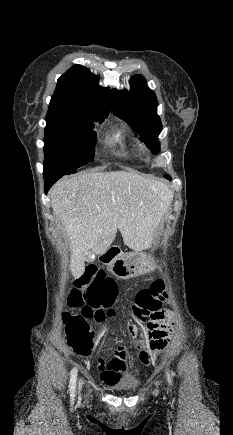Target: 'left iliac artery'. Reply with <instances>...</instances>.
<instances>
[{
	"label": "left iliac artery",
	"instance_id": "1",
	"mask_svg": "<svg viewBox=\"0 0 233 435\" xmlns=\"http://www.w3.org/2000/svg\"><path fill=\"white\" fill-rule=\"evenodd\" d=\"M166 375H167V380H168L169 384H171L172 380H171V376L169 374V371L166 372Z\"/></svg>",
	"mask_w": 233,
	"mask_h": 435
}]
</instances>
